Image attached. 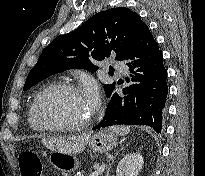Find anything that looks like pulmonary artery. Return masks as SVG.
I'll list each match as a JSON object with an SVG mask.
<instances>
[{
    "mask_svg": "<svg viewBox=\"0 0 205 176\" xmlns=\"http://www.w3.org/2000/svg\"><path fill=\"white\" fill-rule=\"evenodd\" d=\"M113 67L121 74H125L127 72V67L123 64L115 63Z\"/></svg>",
    "mask_w": 205,
    "mask_h": 176,
    "instance_id": "obj_1",
    "label": "pulmonary artery"
}]
</instances>
